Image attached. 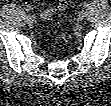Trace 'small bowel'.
I'll return each instance as SVG.
<instances>
[{"mask_svg":"<svg viewBox=\"0 0 111 106\" xmlns=\"http://www.w3.org/2000/svg\"><path fill=\"white\" fill-rule=\"evenodd\" d=\"M68 2L66 0H60L57 2L56 7H47L41 12V18L43 20H49L56 11H63L67 7Z\"/></svg>","mask_w":111,"mask_h":106,"instance_id":"small-bowel-1","label":"small bowel"}]
</instances>
